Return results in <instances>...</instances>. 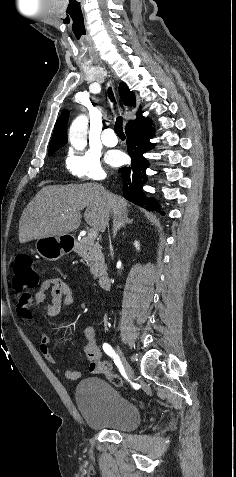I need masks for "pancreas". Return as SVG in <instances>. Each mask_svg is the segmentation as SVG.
<instances>
[{"mask_svg":"<svg viewBox=\"0 0 236 477\" xmlns=\"http://www.w3.org/2000/svg\"><path fill=\"white\" fill-rule=\"evenodd\" d=\"M74 251L86 261L94 278H98L105 273V260L101 246L98 243L89 238H82L75 242Z\"/></svg>","mask_w":236,"mask_h":477,"instance_id":"1","label":"pancreas"}]
</instances>
